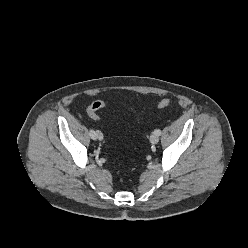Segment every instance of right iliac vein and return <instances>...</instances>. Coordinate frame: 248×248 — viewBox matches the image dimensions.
Wrapping results in <instances>:
<instances>
[{
    "label": "right iliac vein",
    "instance_id": "right-iliac-vein-1",
    "mask_svg": "<svg viewBox=\"0 0 248 248\" xmlns=\"http://www.w3.org/2000/svg\"><path fill=\"white\" fill-rule=\"evenodd\" d=\"M96 138L99 139V140H102L103 139V135H102V133L100 131H97L96 132Z\"/></svg>",
    "mask_w": 248,
    "mask_h": 248
}]
</instances>
